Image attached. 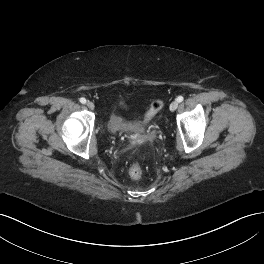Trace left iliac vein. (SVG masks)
Returning <instances> with one entry per match:
<instances>
[{"label":"left iliac vein","instance_id":"1","mask_svg":"<svg viewBox=\"0 0 264 264\" xmlns=\"http://www.w3.org/2000/svg\"><path fill=\"white\" fill-rule=\"evenodd\" d=\"M169 108H170L171 111H175L178 108V101H173L170 104V107Z\"/></svg>","mask_w":264,"mask_h":264}]
</instances>
